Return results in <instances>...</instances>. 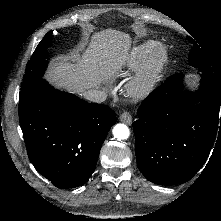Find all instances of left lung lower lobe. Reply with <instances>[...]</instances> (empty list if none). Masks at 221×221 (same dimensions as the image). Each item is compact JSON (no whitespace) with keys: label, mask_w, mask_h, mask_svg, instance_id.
<instances>
[{"label":"left lung lower lobe","mask_w":221,"mask_h":221,"mask_svg":"<svg viewBox=\"0 0 221 221\" xmlns=\"http://www.w3.org/2000/svg\"><path fill=\"white\" fill-rule=\"evenodd\" d=\"M183 77L171 75L150 93L133 123L137 166L159 185L191 179L204 165L217 134L221 136V80L201 73L199 90L183 93Z\"/></svg>","instance_id":"obj_1"}]
</instances>
